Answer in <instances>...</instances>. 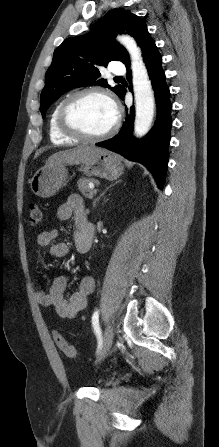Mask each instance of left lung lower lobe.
<instances>
[{"label":"left lung lower lobe","instance_id":"left-lung-lower-lobe-1","mask_svg":"<svg viewBox=\"0 0 219 447\" xmlns=\"http://www.w3.org/2000/svg\"><path fill=\"white\" fill-rule=\"evenodd\" d=\"M142 56L151 80L157 104V119L149 134L138 140L132 137V127L135 117L134 107L126 109V121L119 133L106 141L96 143L123 155L129 160L140 162L153 174L158 186L162 189L168 163V146L172 125L170 111L172 104L169 100L170 92L165 82V73L161 67L162 57L153 39L148 35L141 43ZM127 79L131 80L130 62L125 63ZM124 89L121 98L125 96Z\"/></svg>","mask_w":219,"mask_h":447}]
</instances>
